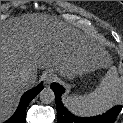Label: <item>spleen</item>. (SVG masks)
<instances>
[{
    "mask_svg": "<svg viewBox=\"0 0 123 123\" xmlns=\"http://www.w3.org/2000/svg\"><path fill=\"white\" fill-rule=\"evenodd\" d=\"M123 82L117 68L112 66L100 84L89 94L65 98L67 108L75 115L88 117L105 113L118 101Z\"/></svg>",
    "mask_w": 123,
    "mask_h": 123,
    "instance_id": "obj_1",
    "label": "spleen"
}]
</instances>
